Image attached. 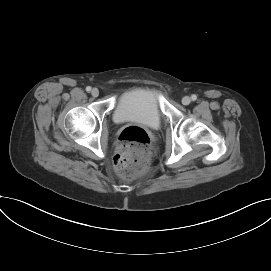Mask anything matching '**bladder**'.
<instances>
[{"instance_id": "bladder-1", "label": "bladder", "mask_w": 271, "mask_h": 271, "mask_svg": "<svg viewBox=\"0 0 271 271\" xmlns=\"http://www.w3.org/2000/svg\"><path fill=\"white\" fill-rule=\"evenodd\" d=\"M117 123L138 122L149 128H159L162 111L157 94L146 89L125 92L119 98L113 113Z\"/></svg>"}]
</instances>
